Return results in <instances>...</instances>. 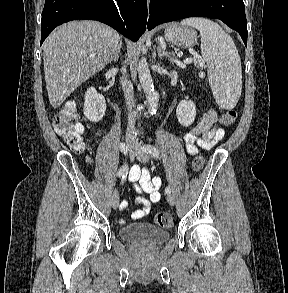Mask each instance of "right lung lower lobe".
Wrapping results in <instances>:
<instances>
[{"mask_svg": "<svg viewBox=\"0 0 288 293\" xmlns=\"http://www.w3.org/2000/svg\"><path fill=\"white\" fill-rule=\"evenodd\" d=\"M77 19L103 22L137 41L146 30V0H45L41 44L58 25Z\"/></svg>", "mask_w": 288, "mask_h": 293, "instance_id": "obj_1", "label": "right lung lower lobe"}]
</instances>
